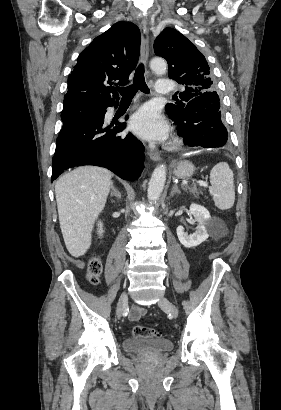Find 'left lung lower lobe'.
Masks as SVG:
<instances>
[{
	"instance_id": "obj_1",
	"label": "left lung lower lobe",
	"mask_w": 281,
	"mask_h": 410,
	"mask_svg": "<svg viewBox=\"0 0 281 410\" xmlns=\"http://www.w3.org/2000/svg\"><path fill=\"white\" fill-rule=\"evenodd\" d=\"M184 144L194 147L215 148L226 144L227 129L221 121L218 94L201 95L187 104L183 119L174 121Z\"/></svg>"
}]
</instances>
